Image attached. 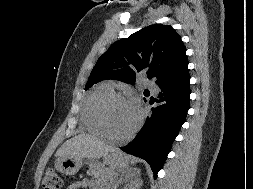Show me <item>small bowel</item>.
I'll return each instance as SVG.
<instances>
[{
  "instance_id": "small-bowel-1",
  "label": "small bowel",
  "mask_w": 253,
  "mask_h": 189,
  "mask_svg": "<svg viewBox=\"0 0 253 189\" xmlns=\"http://www.w3.org/2000/svg\"><path fill=\"white\" fill-rule=\"evenodd\" d=\"M95 189L94 184L91 181L83 180L74 184L69 185L66 189Z\"/></svg>"
}]
</instances>
